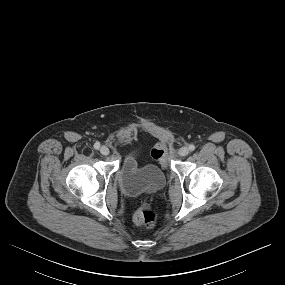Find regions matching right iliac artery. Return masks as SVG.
Masks as SVG:
<instances>
[{
	"instance_id": "obj_1",
	"label": "right iliac artery",
	"mask_w": 285,
	"mask_h": 285,
	"mask_svg": "<svg viewBox=\"0 0 285 285\" xmlns=\"http://www.w3.org/2000/svg\"><path fill=\"white\" fill-rule=\"evenodd\" d=\"M94 148H95L96 150H98V149L100 148V143H99V142H96V143L94 144Z\"/></svg>"
}]
</instances>
